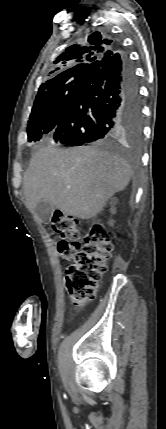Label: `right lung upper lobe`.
Masks as SVG:
<instances>
[{
    "mask_svg": "<svg viewBox=\"0 0 166 429\" xmlns=\"http://www.w3.org/2000/svg\"><path fill=\"white\" fill-rule=\"evenodd\" d=\"M112 51H116L115 44L99 32L90 35L87 41H79L67 47L53 62L50 74H54V77L43 83L37 94L69 77L86 75L91 63Z\"/></svg>",
    "mask_w": 166,
    "mask_h": 429,
    "instance_id": "right-lung-upper-lobe-1",
    "label": "right lung upper lobe"
}]
</instances>
